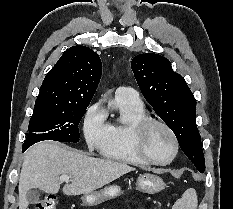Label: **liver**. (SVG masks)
<instances>
[{
  "label": "liver",
  "mask_w": 233,
  "mask_h": 209,
  "mask_svg": "<svg viewBox=\"0 0 233 209\" xmlns=\"http://www.w3.org/2000/svg\"><path fill=\"white\" fill-rule=\"evenodd\" d=\"M134 170L125 163L90 157L56 143H38L26 152L23 160L18 186L19 209H27L29 189L58 193L60 175L73 178L62 191L65 195L75 196L94 192Z\"/></svg>",
  "instance_id": "liver-1"
}]
</instances>
